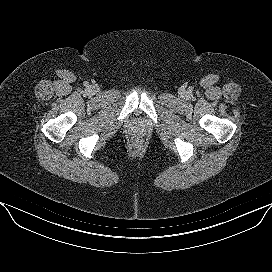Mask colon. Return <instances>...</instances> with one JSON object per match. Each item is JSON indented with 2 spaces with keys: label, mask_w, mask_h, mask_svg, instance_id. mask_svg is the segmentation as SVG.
Segmentation results:
<instances>
[{
  "label": "colon",
  "mask_w": 272,
  "mask_h": 272,
  "mask_svg": "<svg viewBox=\"0 0 272 272\" xmlns=\"http://www.w3.org/2000/svg\"><path fill=\"white\" fill-rule=\"evenodd\" d=\"M135 143H136V144H139L140 142H139V140H136Z\"/></svg>",
  "instance_id": "obj_1"
}]
</instances>
